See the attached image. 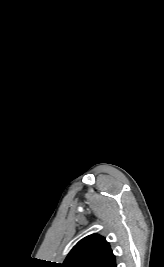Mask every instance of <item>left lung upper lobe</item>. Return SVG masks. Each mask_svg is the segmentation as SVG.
Returning a JSON list of instances; mask_svg holds the SVG:
<instances>
[{"instance_id":"1","label":"left lung upper lobe","mask_w":164,"mask_h":267,"mask_svg":"<svg viewBox=\"0 0 164 267\" xmlns=\"http://www.w3.org/2000/svg\"><path fill=\"white\" fill-rule=\"evenodd\" d=\"M115 259L104 237L92 234L80 240L70 251L62 267H108Z\"/></svg>"}]
</instances>
